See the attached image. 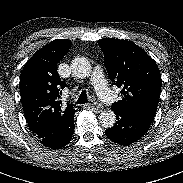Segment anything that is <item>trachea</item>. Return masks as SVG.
Returning <instances> with one entry per match:
<instances>
[{
  "label": "trachea",
  "instance_id": "3493384b",
  "mask_svg": "<svg viewBox=\"0 0 183 183\" xmlns=\"http://www.w3.org/2000/svg\"><path fill=\"white\" fill-rule=\"evenodd\" d=\"M88 102L87 92L86 90H83L77 100V104H85Z\"/></svg>",
  "mask_w": 183,
  "mask_h": 183
}]
</instances>
